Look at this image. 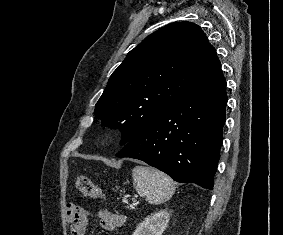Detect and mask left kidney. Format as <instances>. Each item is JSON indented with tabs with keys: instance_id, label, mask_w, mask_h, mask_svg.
Listing matches in <instances>:
<instances>
[{
	"instance_id": "left-kidney-1",
	"label": "left kidney",
	"mask_w": 283,
	"mask_h": 235,
	"mask_svg": "<svg viewBox=\"0 0 283 235\" xmlns=\"http://www.w3.org/2000/svg\"><path fill=\"white\" fill-rule=\"evenodd\" d=\"M169 218L170 214L165 210L152 214L137 226L132 235H162Z\"/></svg>"
}]
</instances>
